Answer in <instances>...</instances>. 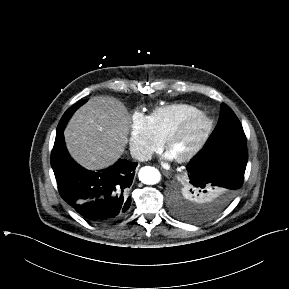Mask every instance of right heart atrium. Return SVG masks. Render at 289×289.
Returning <instances> with one entry per match:
<instances>
[{
	"instance_id": "obj_1",
	"label": "right heart atrium",
	"mask_w": 289,
	"mask_h": 289,
	"mask_svg": "<svg viewBox=\"0 0 289 289\" xmlns=\"http://www.w3.org/2000/svg\"><path fill=\"white\" fill-rule=\"evenodd\" d=\"M129 149L132 156L139 160H148L162 147V140L155 134L149 116L136 111L129 123Z\"/></svg>"
}]
</instances>
